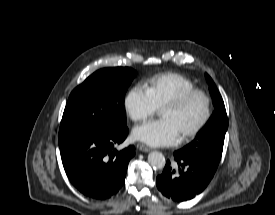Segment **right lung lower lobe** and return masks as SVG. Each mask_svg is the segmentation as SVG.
Returning a JSON list of instances; mask_svg holds the SVG:
<instances>
[{"label":"right lung lower lobe","mask_w":275,"mask_h":215,"mask_svg":"<svg viewBox=\"0 0 275 215\" xmlns=\"http://www.w3.org/2000/svg\"><path fill=\"white\" fill-rule=\"evenodd\" d=\"M128 128L107 132H64L59 134V148L65 172L84 195L106 199L116 194L125 181L135 147L121 151L115 145L122 143Z\"/></svg>","instance_id":"right-lung-lower-lobe-1"}]
</instances>
